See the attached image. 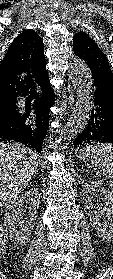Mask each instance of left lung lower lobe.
Returning a JSON list of instances; mask_svg holds the SVG:
<instances>
[{
	"label": "left lung lower lobe",
	"instance_id": "1",
	"mask_svg": "<svg viewBox=\"0 0 113 279\" xmlns=\"http://www.w3.org/2000/svg\"><path fill=\"white\" fill-rule=\"evenodd\" d=\"M94 107L85 129L74 140V147L91 143H113V84L93 76Z\"/></svg>",
	"mask_w": 113,
	"mask_h": 279
}]
</instances>
